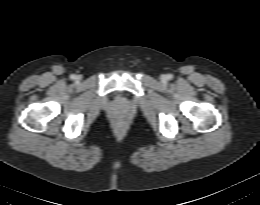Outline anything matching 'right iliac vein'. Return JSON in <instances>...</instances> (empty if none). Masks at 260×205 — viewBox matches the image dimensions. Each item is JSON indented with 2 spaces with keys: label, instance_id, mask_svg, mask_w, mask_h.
Here are the masks:
<instances>
[{
  "label": "right iliac vein",
  "instance_id": "right-iliac-vein-1",
  "mask_svg": "<svg viewBox=\"0 0 260 205\" xmlns=\"http://www.w3.org/2000/svg\"><path fill=\"white\" fill-rule=\"evenodd\" d=\"M76 79H77V80H80V79H81V77H80V76H77V77H76Z\"/></svg>",
  "mask_w": 260,
  "mask_h": 205
}]
</instances>
